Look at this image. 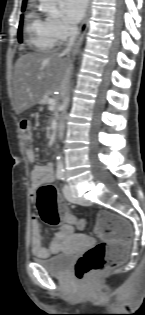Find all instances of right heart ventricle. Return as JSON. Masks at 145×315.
<instances>
[{
  "instance_id": "obj_1",
  "label": "right heart ventricle",
  "mask_w": 145,
  "mask_h": 315,
  "mask_svg": "<svg viewBox=\"0 0 145 315\" xmlns=\"http://www.w3.org/2000/svg\"><path fill=\"white\" fill-rule=\"evenodd\" d=\"M25 31L28 45L37 52H46L57 43L49 29L47 19L34 9L27 15Z\"/></svg>"
}]
</instances>
